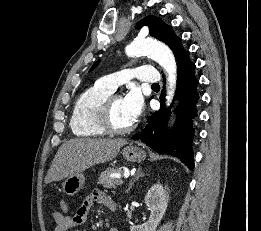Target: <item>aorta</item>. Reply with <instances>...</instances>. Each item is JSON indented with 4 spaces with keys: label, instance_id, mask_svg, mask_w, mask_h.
Here are the masks:
<instances>
[{
    "label": "aorta",
    "instance_id": "1",
    "mask_svg": "<svg viewBox=\"0 0 261 231\" xmlns=\"http://www.w3.org/2000/svg\"><path fill=\"white\" fill-rule=\"evenodd\" d=\"M128 56H149L156 61L165 71L167 75V95L166 101L169 105L173 99L176 80H177V65L172 51L166 45L148 40H134L126 47Z\"/></svg>",
    "mask_w": 261,
    "mask_h": 231
}]
</instances>
